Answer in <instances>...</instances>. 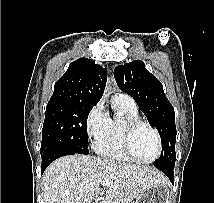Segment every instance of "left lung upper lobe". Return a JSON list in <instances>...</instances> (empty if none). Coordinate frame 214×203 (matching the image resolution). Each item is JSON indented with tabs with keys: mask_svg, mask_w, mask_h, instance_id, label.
Listing matches in <instances>:
<instances>
[{
	"mask_svg": "<svg viewBox=\"0 0 214 203\" xmlns=\"http://www.w3.org/2000/svg\"><path fill=\"white\" fill-rule=\"evenodd\" d=\"M114 77L118 87L134 98L149 123L154 125L160 134L162 152L154 165H175V113L161 82L147 71L141 60L117 66L114 69Z\"/></svg>",
	"mask_w": 214,
	"mask_h": 203,
	"instance_id": "1",
	"label": "left lung upper lobe"
}]
</instances>
